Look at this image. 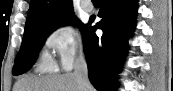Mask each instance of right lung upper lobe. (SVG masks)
Here are the masks:
<instances>
[{"label":"right lung upper lobe","instance_id":"right-lung-upper-lobe-1","mask_svg":"<svg viewBox=\"0 0 173 91\" xmlns=\"http://www.w3.org/2000/svg\"><path fill=\"white\" fill-rule=\"evenodd\" d=\"M72 15L71 0H31L25 32L35 27L52 25Z\"/></svg>","mask_w":173,"mask_h":91}]
</instances>
